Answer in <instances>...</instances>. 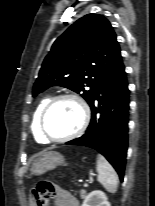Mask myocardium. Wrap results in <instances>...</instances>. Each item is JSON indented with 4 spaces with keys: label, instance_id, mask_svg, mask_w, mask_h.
Returning <instances> with one entry per match:
<instances>
[{
    "label": "myocardium",
    "instance_id": "obj_1",
    "mask_svg": "<svg viewBox=\"0 0 155 206\" xmlns=\"http://www.w3.org/2000/svg\"><path fill=\"white\" fill-rule=\"evenodd\" d=\"M61 100H73L78 105L81 111V123L74 132L64 137L54 138L47 134L44 123L49 110L53 107V105H55L57 102ZM89 122H90V109L87 102L78 94L63 93L51 98L43 108L39 118V132L47 142L63 143L82 135L87 129Z\"/></svg>",
    "mask_w": 155,
    "mask_h": 206
}]
</instances>
